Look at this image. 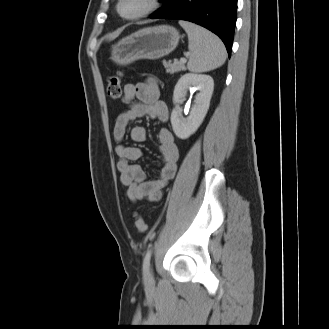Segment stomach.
I'll return each mask as SVG.
<instances>
[{"instance_id": "1", "label": "stomach", "mask_w": 329, "mask_h": 329, "mask_svg": "<svg viewBox=\"0 0 329 329\" xmlns=\"http://www.w3.org/2000/svg\"><path fill=\"white\" fill-rule=\"evenodd\" d=\"M179 39V32L172 26L144 28L113 45L111 59L118 65H127L139 59H159L171 53Z\"/></svg>"}]
</instances>
